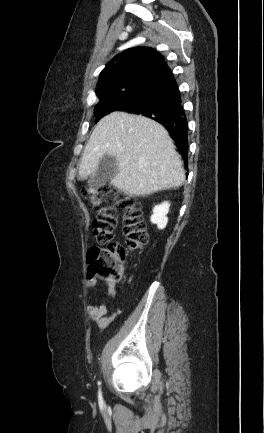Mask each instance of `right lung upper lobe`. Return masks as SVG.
Here are the masks:
<instances>
[{
	"label": "right lung upper lobe",
	"instance_id": "right-lung-upper-lobe-1",
	"mask_svg": "<svg viewBox=\"0 0 264 433\" xmlns=\"http://www.w3.org/2000/svg\"><path fill=\"white\" fill-rule=\"evenodd\" d=\"M165 64L162 55L148 47L129 49L114 57L100 73L96 94L99 98L142 86Z\"/></svg>",
	"mask_w": 264,
	"mask_h": 433
}]
</instances>
